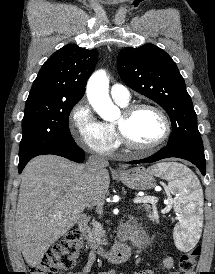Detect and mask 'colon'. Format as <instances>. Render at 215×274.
<instances>
[{
    "mask_svg": "<svg viewBox=\"0 0 215 274\" xmlns=\"http://www.w3.org/2000/svg\"><path fill=\"white\" fill-rule=\"evenodd\" d=\"M82 244L81 233L78 230L70 231L53 245L36 265L31 267V274H61L62 271L70 270L79 257ZM200 250V246H197L180 257L181 273L194 274Z\"/></svg>",
    "mask_w": 215,
    "mask_h": 274,
    "instance_id": "5ec220e1",
    "label": "colon"
}]
</instances>
